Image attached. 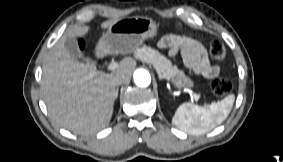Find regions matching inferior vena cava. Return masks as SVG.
<instances>
[{
	"label": "inferior vena cava",
	"mask_w": 283,
	"mask_h": 162,
	"mask_svg": "<svg viewBox=\"0 0 283 162\" xmlns=\"http://www.w3.org/2000/svg\"><path fill=\"white\" fill-rule=\"evenodd\" d=\"M124 82H125V79H124L123 76H116V77H114V79H113V84H114L115 86H119V85H121V84L124 83Z\"/></svg>",
	"instance_id": "obj_1"
}]
</instances>
